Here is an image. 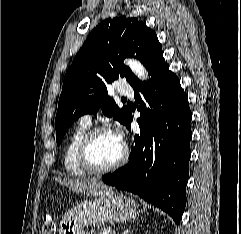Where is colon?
Segmentation results:
<instances>
[{
	"instance_id": "colon-1",
	"label": "colon",
	"mask_w": 241,
	"mask_h": 234,
	"mask_svg": "<svg viewBox=\"0 0 241 234\" xmlns=\"http://www.w3.org/2000/svg\"><path fill=\"white\" fill-rule=\"evenodd\" d=\"M55 223L49 215L44 216L41 226V234H55Z\"/></svg>"
}]
</instances>
